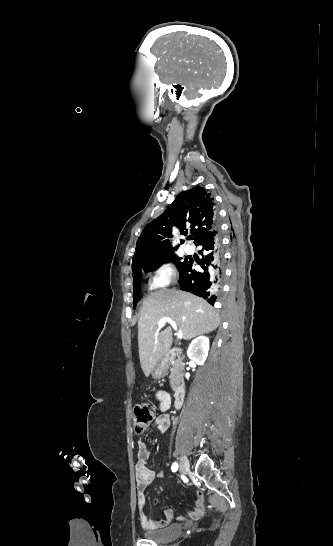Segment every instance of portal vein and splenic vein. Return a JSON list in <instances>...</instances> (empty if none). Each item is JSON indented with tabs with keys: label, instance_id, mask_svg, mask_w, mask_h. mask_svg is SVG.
<instances>
[{
	"label": "portal vein and splenic vein",
	"instance_id": "18ae733b",
	"mask_svg": "<svg viewBox=\"0 0 333 546\" xmlns=\"http://www.w3.org/2000/svg\"><path fill=\"white\" fill-rule=\"evenodd\" d=\"M166 323H169L176 331H177V325L175 323V321H173L170 317H163L159 320L158 322V330H160L161 328H163L165 326ZM176 336L178 339H182L183 337V334L181 331H177L176 332Z\"/></svg>",
	"mask_w": 333,
	"mask_h": 546
}]
</instances>
